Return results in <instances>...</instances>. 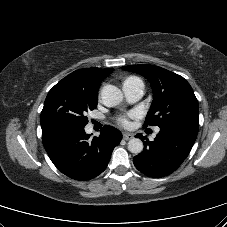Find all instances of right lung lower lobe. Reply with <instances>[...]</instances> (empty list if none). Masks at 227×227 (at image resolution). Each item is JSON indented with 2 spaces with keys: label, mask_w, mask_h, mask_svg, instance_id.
I'll use <instances>...</instances> for the list:
<instances>
[{
  "label": "right lung lower lobe",
  "mask_w": 227,
  "mask_h": 227,
  "mask_svg": "<svg viewBox=\"0 0 227 227\" xmlns=\"http://www.w3.org/2000/svg\"><path fill=\"white\" fill-rule=\"evenodd\" d=\"M89 137L84 127L56 125L42 129L43 145L53 164L66 176L79 181L90 180L105 170L122 134L106 125L99 137L92 140Z\"/></svg>",
  "instance_id": "right-lung-lower-lobe-1"
}]
</instances>
